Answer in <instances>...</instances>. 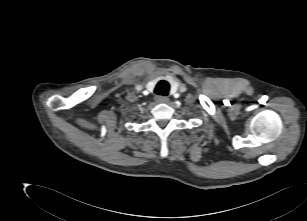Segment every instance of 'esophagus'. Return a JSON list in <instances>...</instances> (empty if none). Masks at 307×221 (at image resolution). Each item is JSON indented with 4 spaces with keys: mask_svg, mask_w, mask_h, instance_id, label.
Listing matches in <instances>:
<instances>
[{
    "mask_svg": "<svg viewBox=\"0 0 307 221\" xmlns=\"http://www.w3.org/2000/svg\"><path fill=\"white\" fill-rule=\"evenodd\" d=\"M155 101H156L157 103H168V102H169V98L166 97V96H157V97L155 98Z\"/></svg>",
    "mask_w": 307,
    "mask_h": 221,
    "instance_id": "1",
    "label": "esophagus"
}]
</instances>
